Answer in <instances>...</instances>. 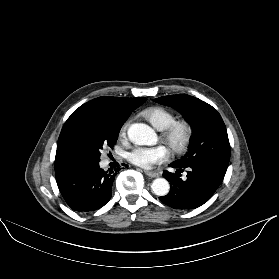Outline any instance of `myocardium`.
Listing matches in <instances>:
<instances>
[{
  "instance_id": "obj_1",
  "label": "myocardium",
  "mask_w": 279,
  "mask_h": 279,
  "mask_svg": "<svg viewBox=\"0 0 279 279\" xmlns=\"http://www.w3.org/2000/svg\"><path fill=\"white\" fill-rule=\"evenodd\" d=\"M161 137L175 154L187 151L193 137V126L187 119H175L163 130Z\"/></svg>"
}]
</instances>
